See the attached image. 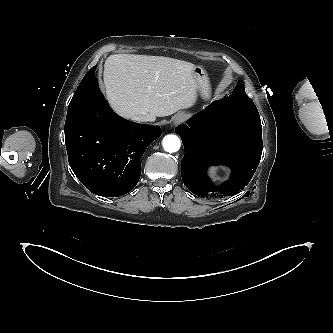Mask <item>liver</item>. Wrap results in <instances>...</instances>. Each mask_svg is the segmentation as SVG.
<instances>
[{"label":"liver","mask_w":333,"mask_h":333,"mask_svg":"<svg viewBox=\"0 0 333 333\" xmlns=\"http://www.w3.org/2000/svg\"><path fill=\"white\" fill-rule=\"evenodd\" d=\"M195 65L163 56L115 54L104 65L106 97L113 110L133 119L149 121L192 107L199 84Z\"/></svg>","instance_id":"liver-1"}]
</instances>
